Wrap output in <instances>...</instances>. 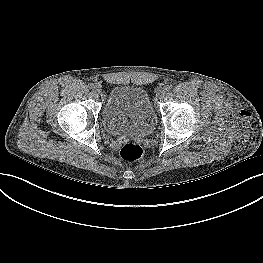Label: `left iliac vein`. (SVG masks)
Listing matches in <instances>:
<instances>
[{
    "instance_id": "obj_1",
    "label": "left iliac vein",
    "mask_w": 263,
    "mask_h": 263,
    "mask_svg": "<svg viewBox=\"0 0 263 263\" xmlns=\"http://www.w3.org/2000/svg\"><path fill=\"white\" fill-rule=\"evenodd\" d=\"M164 94H165V93H163V90H162V91H160V92L157 94V96H158L159 99H162V98L164 97Z\"/></svg>"
}]
</instances>
